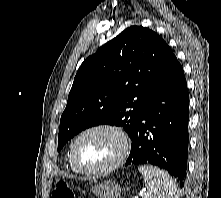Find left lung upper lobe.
<instances>
[{"instance_id": "5c2ea615", "label": "left lung upper lobe", "mask_w": 221, "mask_h": 198, "mask_svg": "<svg viewBox=\"0 0 221 198\" xmlns=\"http://www.w3.org/2000/svg\"><path fill=\"white\" fill-rule=\"evenodd\" d=\"M173 51L148 28L131 26L80 66L61 116L58 151L74 135L100 124L131 137L142 108L164 79Z\"/></svg>"}]
</instances>
